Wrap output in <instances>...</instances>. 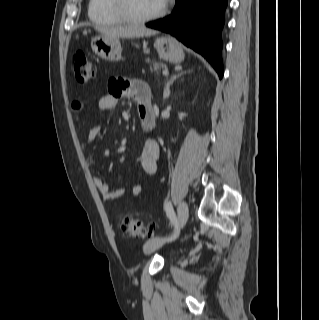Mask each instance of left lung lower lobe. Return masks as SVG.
I'll use <instances>...</instances> for the list:
<instances>
[{
	"label": "left lung lower lobe",
	"mask_w": 319,
	"mask_h": 320,
	"mask_svg": "<svg viewBox=\"0 0 319 320\" xmlns=\"http://www.w3.org/2000/svg\"><path fill=\"white\" fill-rule=\"evenodd\" d=\"M227 0H176L172 13L147 27L176 37L202 54L223 76L221 31Z\"/></svg>",
	"instance_id": "obj_1"
}]
</instances>
